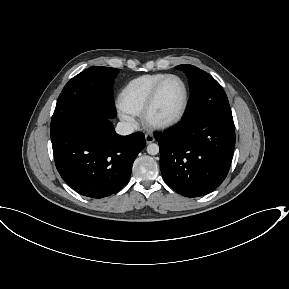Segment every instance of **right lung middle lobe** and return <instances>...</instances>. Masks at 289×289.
I'll return each instance as SVG.
<instances>
[{"label": "right lung middle lobe", "instance_id": "right-lung-middle-lobe-1", "mask_svg": "<svg viewBox=\"0 0 289 289\" xmlns=\"http://www.w3.org/2000/svg\"><path fill=\"white\" fill-rule=\"evenodd\" d=\"M117 73L116 68L94 66L73 77L58 98L51 120V138L75 125L88 113L114 118L111 86Z\"/></svg>", "mask_w": 289, "mask_h": 289}]
</instances>
